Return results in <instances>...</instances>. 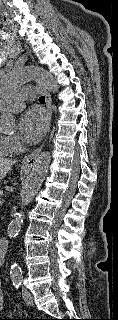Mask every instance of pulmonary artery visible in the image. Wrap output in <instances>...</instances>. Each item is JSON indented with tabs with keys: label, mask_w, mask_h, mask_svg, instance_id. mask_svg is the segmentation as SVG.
I'll list each match as a JSON object with an SVG mask.
<instances>
[{
	"label": "pulmonary artery",
	"mask_w": 118,
	"mask_h": 320,
	"mask_svg": "<svg viewBox=\"0 0 118 320\" xmlns=\"http://www.w3.org/2000/svg\"><path fill=\"white\" fill-rule=\"evenodd\" d=\"M33 99L32 88L27 86L21 91L16 92L11 97L4 100L1 104L5 108H9L17 112L23 108L24 100Z\"/></svg>",
	"instance_id": "obj_1"
}]
</instances>
